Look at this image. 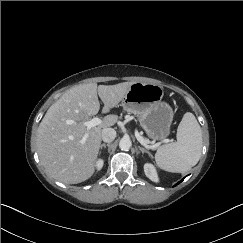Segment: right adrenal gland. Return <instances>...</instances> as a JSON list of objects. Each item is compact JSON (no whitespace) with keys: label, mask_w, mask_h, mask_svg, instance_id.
Segmentation results:
<instances>
[{"label":"right adrenal gland","mask_w":243,"mask_h":243,"mask_svg":"<svg viewBox=\"0 0 243 243\" xmlns=\"http://www.w3.org/2000/svg\"><path fill=\"white\" fill-rule=\"evenodd\" d=\"M109 145H110V144H107V145H106L105 143L101 144V145H100V151H101L103 148H106V146H109Z\"/></svg>","instance_id":"1"}]
</instances>
